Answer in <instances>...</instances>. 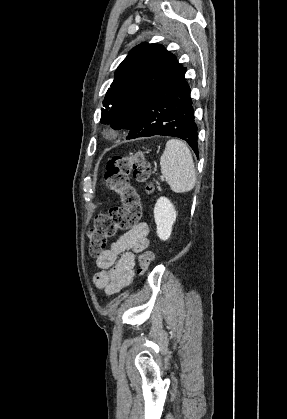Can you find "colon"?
<instances>
[{"instance_id": "colon-1", "label": "colon", "mask_w": 287, "mask_h": 419, "mask_svg": "<svg viewBox=\"0 0 287 419\" xmlns=\"http://www.w3.org/2000/svg\"><path fill=\"white\" fill-rule=\"evenodd\" d=\"M146 183L148 192L154 190L149 182L151 176L150 164L144 159L141 152L130 156L114 157L107 164L105 179L107 186L116 193L122 206L112 208L108 213L98 214L94 220V227L89 231V252L91 256L98 257L106 249L107 243L118 230H129L137 225L141 217V201L138 193L129 182V175ZM153 260L151 252L139 256L138 265L140 273L146 272Z\"/></svg>"}]
</instances>
